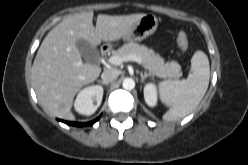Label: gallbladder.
<instances>
[{"label":"gallbladder","mask_w":248,"mask_h":165,"mask_svg":"<svg viewBox=\"0 0 248 165\" xmlns=\"http://www.w3.org/2000/svg\"><path fill=\"white\" fill-rule=\"evenodd\" d=\"M77 47L79 48L81 54L83 57L89 62V63H95L99 59V52L98 50L92 46L88 41L86 40H79L77 43Z\"/></svg>","instance_id":"obj_1"}]
</instances>
